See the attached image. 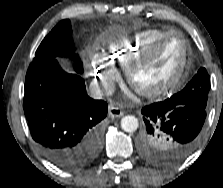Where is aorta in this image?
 Listing matches in <instances>:
<instances>
[{"label": "aorta", "mask_w": 223, "mask_h": 188, "mask_svg": "<svg viewBox=\"0 0 223 188\" xmlns=\"http://www.w3.org/2000/svg\"><path fill=\"white\" fill-rule=\"evenodd\" d=\"M139 123L138 119L134 116L128 115L122 118L121 120V128L125 132H135L138 129Z\"/></svg>", "instance_id": "762f6f07"}]
</instances>
